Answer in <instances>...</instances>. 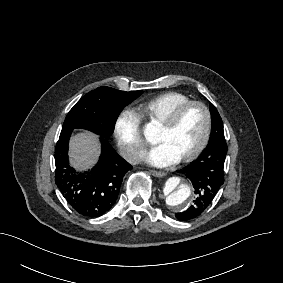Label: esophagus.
I'll list each match as a JSON object with an SVG mask.
<instances>
[{"mask_svg":"<svg viewBox=\"0 0 283 283\" xmlns=\"http://www.w3.org/2000/svg\"><path fill=\"white\" fill-rule=\"evenodd\" d=\"M150 173L155 177H163L166 175L163 171L150 170Z\"/></svg>","mask_w":283,"mask_h":283,"instance_id":"obj_1","label":"esophagus"}]
</instances>
